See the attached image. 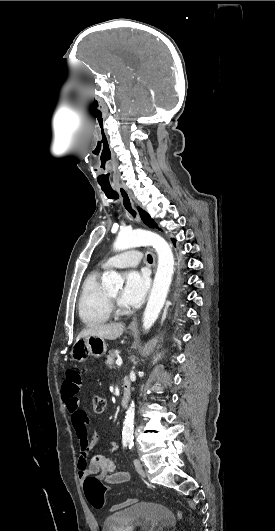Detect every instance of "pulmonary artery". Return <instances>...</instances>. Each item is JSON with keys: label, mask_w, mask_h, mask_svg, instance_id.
I'll return each mask as SVG.
<instances>
[{"label": "pulmonary artery", "mask_w": 275, "mask_h": 531, "mask_svg": "<svg viewBox=\"0 0 275 531\" xmlns=\"http://www.w3.org/2000/svg\"><path fill=\"white\" fill-rule=\"evenodd\" d=\"M130 252L131 253H128V255H123V256H112L111 255L110 259H109L110 263L119 266L121 268V270H123L124 267H126V266L140 265L142 263V256H143L142 251L138 250L136 247H132L130 249ZM102 269L103 270H108L109 269V264L108 263H103L102 264Z\"/></svg>", "instance_id": "e3ab8cb5"}]
</instances>
